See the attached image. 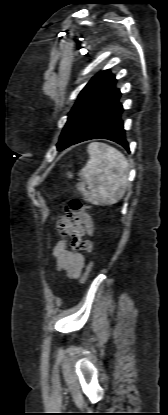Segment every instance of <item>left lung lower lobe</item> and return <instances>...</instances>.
Returning <instances> with one entry per match:
<instances>
[{
	"mask_svg": "<svg viewBox=\"0 0 168 415\" xmlns=\"http://www.w3.org/2000/svg\"><path fill=\"white\" fill-rule=\"evenodd\" d=\"M120 95L113 99L95 117L75 144L91 139H108L120 144L129 151V144L125 139V130L121 118L124 110L122 104L119 102Z\"/></svg>",
	"mask_w": 168,
	"mask_h": 415,
	"instance_id": "obj_1",
	"label": "left lung lower lobe"
}]
</instances>
